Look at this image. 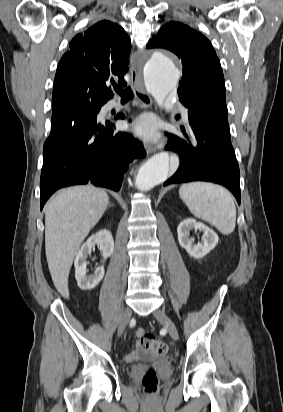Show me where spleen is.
Segmentation results:
<instances>
[{
    "mask_svg": "<svg viewBox=\"0 0 283 412\" xmlns=\"http://www.w3.org/2000/svg\"><path fill=\"white\" fill-rule=\"evenodd\" d=\"M179 196L197 218L215 226L224 235L236 225V207L230 193L223 187L207 182L183 184Z\"/></svg>",
    "mask_w": 283,
    "mask_h": 412,
    "instance_id": "1",
    "label": "spleen"
}]
</instances>
